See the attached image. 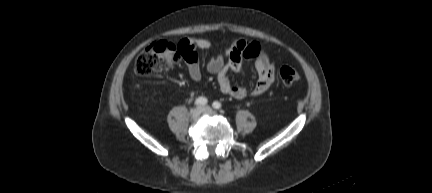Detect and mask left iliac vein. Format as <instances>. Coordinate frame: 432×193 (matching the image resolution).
<instances>
[{
  "instance_id": "4c4485c4",
  "label": "left iliac vein",
  "mask_w": 432,
  "mask_h": 193,
  "mask_svg": "<svg viewBox=\"0 0 432 193\" xmlns=\"http://www.w3.org/2000/svg\"><path fill=\"white\" fill-rule=\"evenodd\" d=\"M202 112L205 113V114H209V115L216 114V112L212 108H210L209 106H204L202 108Z\"/></svg>"
}]
</instances>
